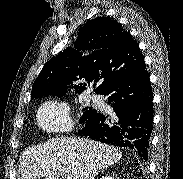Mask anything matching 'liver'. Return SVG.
<instances>
[{
	"mask_svg": "<svg viewBox=\"0 0 183 179\" xmlns=\"http://www.w3.org/2000/svg\"><path fill=\"white\" fill-rule=\"evenodd\" d=\"M120 150L85 138H55L25 150L21 159V179H95L119 161Z\"/></svg>",
	"mask_w": 183,
	"mask_h": 179,
	"instance_id": "liver-1",
	"label": "liver"
}]
</instances>
